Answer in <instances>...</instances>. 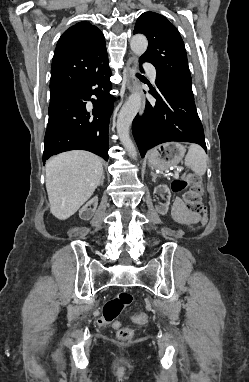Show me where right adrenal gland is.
I'll use <instances>...</instances> for the list:
<instances>
[{
  "mask_svg": "<svg viewBox=\"0 0 249 382\" xmlns=\"http://www.w3.org/2000/svg\"><path fill=\"white\" fill-rule=\"evenodd\" d=\"M104 178H105V176H104V173H103L102 178H101V181H100V184H101V185H103Z\"/></svg>",
  "mask_w": 249,
  "mask_h": 382,
  "instance_id": "1",
  "label": "right adrenal gland"
}]
</instances>
